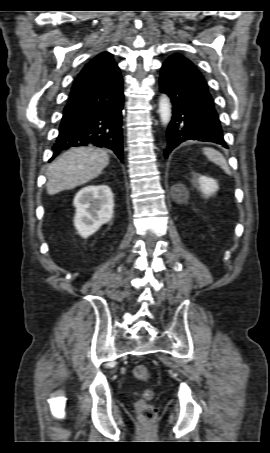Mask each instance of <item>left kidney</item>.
<instances>
[{"instance_id": "obj_1", "label": "left kidney", "mask_w": 270, "mask_h": 453, "mask_svg": "<svg viewBox=\"0 0 270 453\" xmlns=\"http://www.w3.org/2000/svg\"><path fill=\"white\" fill-rule=\"evenodd\" d=\"M200 191L203 196L209 197L218 190V183L213 178L207 176H200L198 179Z\"/></svg>"}]
</instances>
